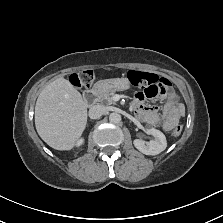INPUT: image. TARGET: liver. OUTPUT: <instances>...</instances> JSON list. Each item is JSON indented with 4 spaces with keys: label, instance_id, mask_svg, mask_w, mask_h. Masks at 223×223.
I'll return each mask as SVG.
<instances>
[{
    "label": "liver",
    "instance_id": "6515ba94",
    "mask_svg": "<svg viewBox=\"0 0 223 223\" xmlns=\"http://www.w3.org/2000/svg\"><path fill=\"white\" fill-rule=\"evenodd\" d=\"M87 121V106L81 94L64 77L46 86L35 107L40 137L58 150L71 149Z\"/></svg>",
    "mask_w": 223,
    "mask_h": 223
}]
</instances>
